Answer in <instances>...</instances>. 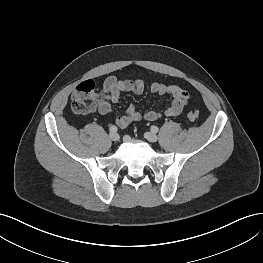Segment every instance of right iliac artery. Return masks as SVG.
Masks as SVG:
<instances>
[{
    "mask_svg": "<svg viewBox=\"0 0 263 263\" xmlns=\"http://www.w3.org/2000/svg\"><path fill=\"white\" fill-rule=\"evenodd\" d=\"M109 130H110V132H117V127L116 126H111L110 128H109Z\"/></svg>",
    "mask_w": 263,
    "mask_h": 263,
    "instance_id": "1",
    "label": "right iliac artery"
}]
</instances>
